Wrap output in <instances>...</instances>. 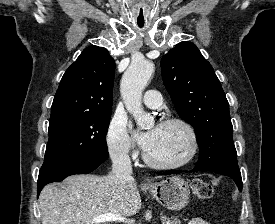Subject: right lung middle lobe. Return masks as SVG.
I'll return each mask as SVG.
<instances>
[{
	"mask_svg": "<svg viewBox=\"0 0 275 224\" xmlns=\"http://www.w3.org/2000/svg\"><path fill=\"white\" fill-rule=\"evenodd\" d=\"M109 113H65L50 117L44 164L108 151Z\"/></svg>",
	"mask_w": 275,
	"mask_h": 224,
	"instance_id": "right-lung-middle-lobe-1",
	"label": "right lung middle lobe"
}]
</instances>
